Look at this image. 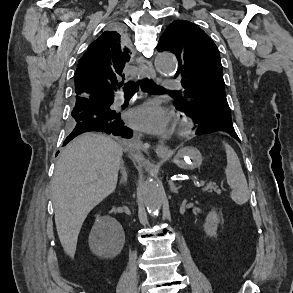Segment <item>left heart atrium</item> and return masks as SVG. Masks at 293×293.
<instances>
[{"label":"left heart atrium","mask_w":293,"mask_h":293,"mask_svg":"<svg viewBox=\"0 0 293 293\" xmlns=\"http://www.w3.org/2000/svg\"><path fill=\"white\" fill-rule=\"evenodd\" d=\"M129 124L147 132L162 133L170 125L169 113L155 102L145 103L128 113Z\"/></svg>","instance_id":"obj_1"}]
</instances>
